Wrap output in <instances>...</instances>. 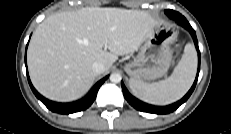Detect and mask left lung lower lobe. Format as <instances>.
I'll use <instances>...</instances> for the list:
<instances>
[{"mask_svg":"<svg viewBox=\"0 0 231 134\" xmlns=\"http://www.w3.org/2000/svg\"><path fill=\"white\" fill-rule=\"evenodd\" d=\"M170 18L178 20V23L181 26H183L184 28H186L191 33V35H192V37L194 39V42H195L196 49L199 52L196 33L193 30V28L191 27V25L188 23L186 18L184 16H182L180 13L176 12V11H175V14H172V16ZM199 71H200V53H199V66H198L197 76H196V79L194 81V84L192 85V87L188 91V93L181 100H179L178 102H176L174 104H171L169 106H163V107L153 106V105L146 104V103L136 99L135 97H133L128 92V90L126 89L125 85L122 82L123 94H124L125 99L129 102V104L132 105L137 110H140L142 112L154 113V114H167V113L175 111L192 94V92H193V90H194V88L196 86V83H197Z\"/></svg>","mask_w":231,"mask_h":134,"instance_id":"0a47b994","label":"left lung lower lobe"}]
</instances>
